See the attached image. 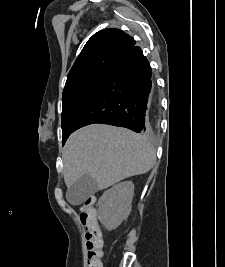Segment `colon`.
Masks as SVG:
<instances>
[{
  "mask_svg": "<svg viewBox=\"0 0 225 267\" xmlns=\"http://www.w3.org/2000/svg\"><path fill=\"white\" fill-rule=\"evenodd\" d=\"M80 219L86 227L87 263L86 267H103L105 241L100 229L93 200L88 199L81 207Z\"/></svg>",
  "mask_w": 225,
  "mask_h": 267,
  "instance_id": "colon-1",
  "label": "colon"
}]
</instances>
